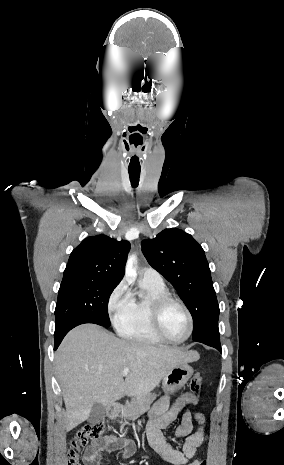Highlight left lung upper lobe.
I'll list each match as a JSON object with an SVG mask.
<instances>
[{"mask_svg":"<svg viewBox=\"0 0 284 465\" xmlns=\"http://www.w3.org/2000/svg\"><path fill=\"white\" fill-rule=\"evenodd\" d=\"M141 245L149 264L174 286L189 308L193 340L218 331L219 305L203 248L176 228L165 229Z\"/></svg>","mask_w":284,"mask_h":465,"instance_id":"left-lung-upper-lobe-1","label":"left lung upper lobe"}]
</instances>
